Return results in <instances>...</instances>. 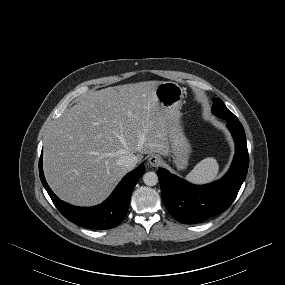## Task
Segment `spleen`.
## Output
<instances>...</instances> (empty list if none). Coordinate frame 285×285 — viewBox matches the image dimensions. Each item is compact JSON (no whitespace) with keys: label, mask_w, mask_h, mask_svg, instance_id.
Instances as JSON below:
<instances>
[{"label":"spleen","mask_w":285,"mask_h":285,"mask_svg":"<svg viewBox=\"0 0 285 285\" xmlns=\"http://www.w3.org/2000/svg\"><path fill=\"white\" fill-rule=\"evenodd\" d=\"M218 172L219 164L217 160L208 157L200 161L185 178L193 184H207L217 178Z\"/></svg>","instance_id":"obj_1"}]
</instances>
